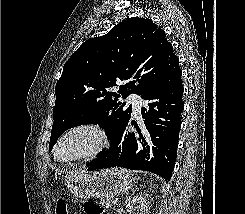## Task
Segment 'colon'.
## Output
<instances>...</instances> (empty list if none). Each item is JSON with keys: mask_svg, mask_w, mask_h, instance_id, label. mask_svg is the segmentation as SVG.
<instances>
[{"mask_svg": "<svg viewBox=\"0 0 245 214\" xmlns=\"http://www.w3.org/2000/svg\"><path fill=\"white\" fill-rule=\"evenodd\" d=\"M85 214H102L103 210L100 205L95 202L88 201L84 204ZM56 214H67V206L64 199L57 202Z\"/></svg>", "mask_w": 245, "mask_h": 214, "instance_id": "obj_1", "label": "colon"}]
</instances>
